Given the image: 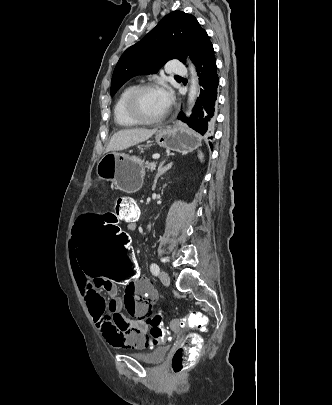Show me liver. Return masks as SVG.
Masks as SVG:
<instances>
[{"instance_id":"6515ba94","label":"liver","mask_w":332,"mask_h":405,"mask_svg":"<svg viewBox=\"0 0 332 405\" xmlns=\"http://www.w3.org/2000/svg\"><path fill=\"white\" fill-rule=\"evenodd\" d=\"M158 128L145 129V128H135V129H125L120 130L115 133L106 148V152L109 151H119L127 149L131 146L144 142L151 138Z\"/></svg>"}]
</instances>
